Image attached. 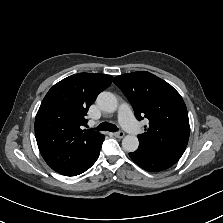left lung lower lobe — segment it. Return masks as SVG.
Here are the masks:
<instances>
[{
    "label": "left lung lower lobe",
    "instance_id": "0a47b994",
    "mask_svg": "<svg viewBox=\"0 0 223 223\" xmlns=\"http://www.w3.org/2000/svg\"><path fill=\"white\" fill-rule=\"evenodd\" d=\"M129 155L140 167L150 172L165 170L178 161V159L142 149H137L135 152L129 153Z\"/></svg>",
    "mask_w": 223,
    "mask_h": 223
}]
</instances>
